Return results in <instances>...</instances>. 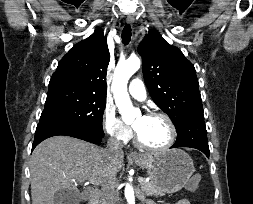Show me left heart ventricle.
Here are the masks:
<instances>
[{"instance_id": "b2bd125f", "label": "left heart ventricle", "mask_w": 253, "mask_h": 204, "mask_svg": "<svg viewBox=\"0 0 253 204\" xmlns=\"http://www.w3.org/2000/svg\"><path fill=\"white\" fill-rule=\"evenodd\" d=\"M133 126L144 143L153 147H160L167 143L170 130L167 123L159 117L139 115Z\"/></svg>"}]
</instances>
